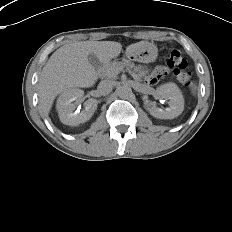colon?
<instances>
[{
    "label": "colon",
    "mask_w": 232,
    "mask_h": 232,
    "mask_svg": "<svg viewBox=\"0 0 232 232\" xmlns=\"http://www.w3.org/2000/svg\"><path fill=\"white\" fill-rule=\"evenodd\" d=\"M163 65L169 69L181 83L190 85L191 74L187 70V62L183 58L181 52L177 49H172L163 59Z\"/></svg>",
    "instance_id": "colon-1"
}]
</instances>
